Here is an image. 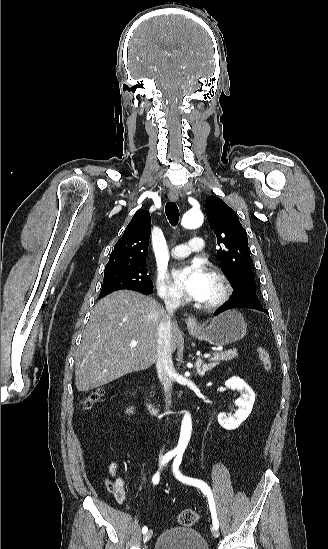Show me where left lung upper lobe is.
<instances>
[{
  "label": "left lung upper lobe",
  "instance_id": "1",
  "mask_svg": "<svg viewBox=\"0 0 328 549\" xmlns=\"http://www.w3.org/2000/svg\"><path fill=\"white\" fill-rule=\"evenodd\" d=\"M210 227L217 236L220 267L234 289L232 300L259 301L255 291L248 238L235 211L218 197L206 199Z\"/></svg>",
  "mask_w": 328,
  "mask_h": 549
}]
</instances>
